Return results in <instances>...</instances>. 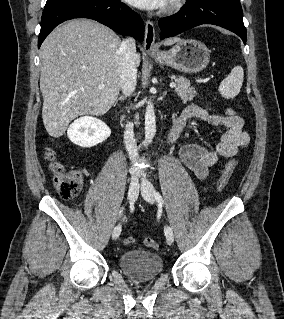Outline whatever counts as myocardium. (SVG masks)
I'll list each match as a JSON object with an SVG mask.
<instances>
[{
    "instance_id": "obj_1",
    "label": "myocardium",
    "mask_w": 284,
    "mask_h": 319,
    "mask_svg": "<svg viewBox=\"0 0 284 319\" xmlns=\"http://www.w3.org/2000/svg\"><path fill=\"white\" fill-rule=\"evenodd\" d=\"M186 0H169L166 8L167 12H173L181 9Z\"/></svg>"
}]
</instances>
